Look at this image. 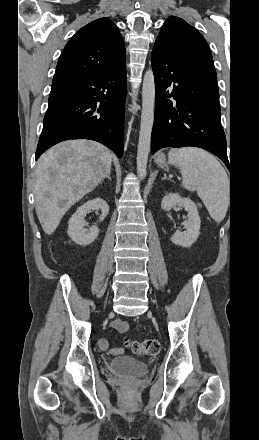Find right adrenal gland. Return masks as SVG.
I'll return each mask as SVG.
<instances>
[{"mask_svg":"<svg viewBox=\"0 0 259 440\" xmlns=\"http://www.w3.org/2000/svg\"><path fill=\"white\" fill-rule=\"evenodd\" d=\"M111 171H109V173L105 176V178H107V179H109V180H111Z\"/></svg>","mask_w":259,"mask_h":440,"instance_id":"obj_1","label":"right adrenal gland"}]
</instances>
